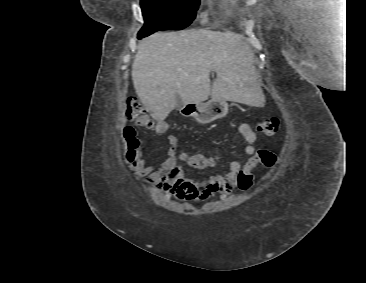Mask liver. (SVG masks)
I'll list each match as a JSON object with an SVG mask.
<instances>
[{
	"instance_id": "obj_1",
	"label": "liver",
	"mask_w": 366,
	"mask_h": 283,
	"mask_svg": "<svg viewBox=\"0 0 366 283\" xmlns=\"http://www.w3.org/2000/svg\"><path fill=\"white\" fill-rule=\"evenodd\" d=\"M217 78L211 83L210 72ZM135 91L155 120L176 107L202 103L209 96L262 107L254 54L238 34L208 29L155 33L138 46L132 64Z\"/></svg>"
}]
</instances>
